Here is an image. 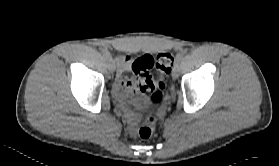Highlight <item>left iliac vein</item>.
Segmentation results:
<instances>
[{"label":"left iliac vein","instance_id":"1","mask_svg":"<svg viewBox=\"0 0 279 166\" xmlns=\"http://www.w3.org/2000/svg\"><path fill=\"white\" fill-rule=\"evenodd\" d=\"M179 72H180L179 64H175L174 68H173V71H172V77L174 79L178 78Z\"/></svg>","mask_w":279,"mask_h":166}]
</instances>
